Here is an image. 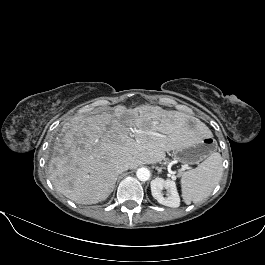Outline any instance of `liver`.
Instances as JSON below:
<instances>
[{
	"label": "liver",
	"instance_id": "6515ba94",
	"mask_svg": "<svg viewBox=\"0 0 265 265\" xmlns=\"http://www.w3.org/2000/svg\"><path fill=\"white\" fill-rule=\"evenodd\" d=\"M207 133L209 129L200 120L159 106L130 110L116 106L113 112L75 116L63 124L48 165L49 177L68 199L96 204L113 191L120 164L128 162L134 169L158 163L165 152Z\"/></svg>",
	"mask_w": 265,
	"mask_h": 265
}]
</instances>
